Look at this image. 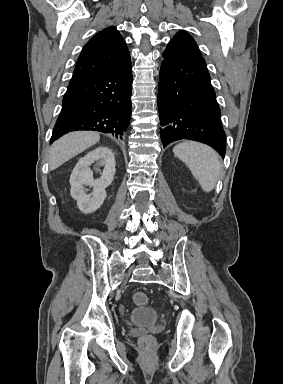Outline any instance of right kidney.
<instances>
[{"mask_svg": "<svg viewBox=\"0 0 283 384\" xmlns=\"http://www.w3.org/2000/svg\"><path fill=\"white\" fill-rule=\"evenodd\" d=\"M91 164H95L96 168L103 166L99 180H94L93 172L90 170ZM115 166L114 154L105 146L92 150L76 164L69 180L70 192L83 214H93L102 206L106 198L105 188L113 182ZM84 186H91L93 188L92 194H86Z\"/></svg>", "mask_w": 283, "mask_h": 384, "instance_id": "1", "label": "right kidney"}]
</instances>
